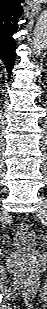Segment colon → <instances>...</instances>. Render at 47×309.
<instances>
[{
  "mask_svg": "<svg viewBox=\"0 0 47 309\" xmlns=\"http://www.w3.org/2000/svg\"><path fill=\"white\" fill-rule=\"evenodd\" d=\"M20 229L22 231H27L29 229V226L27 224H21Z\"/></svg>",
  "mask_w": 47,
  "mask_h": 309,
  "instance_id": "1",
  "label": "colon"
}]
</instances>
